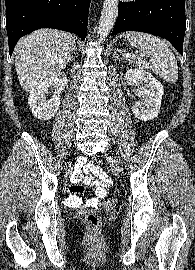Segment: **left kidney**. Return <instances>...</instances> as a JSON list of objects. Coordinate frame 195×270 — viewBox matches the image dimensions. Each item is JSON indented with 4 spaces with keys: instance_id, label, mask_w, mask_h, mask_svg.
Segmentation results:
<instances>
[{
    "instance_id": "left-kidney-1",
    "label": "left kidney",
    "mask_w": 195,
    "mask_h": 270,
    "mask_svg": "<svg viewBox=\"0 0 195 270\" xmlns=\"http://www.w3.org/2000/svg\"><path fill=\"white\" fill-rule=\"evenodd\" d=\"M124 79L129 84L136 86L139 83H145V86L136 89L137 96L143 98V103L136 102L132 106V112L135 117L142 121L156 118L160 112L164 93L163 85L151 73L140 68L128 69Z\"/></svg>"
}]
</instances>
